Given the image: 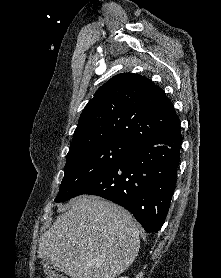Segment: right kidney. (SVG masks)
<instances>
[{"mask_svg":"<svg viewBox=\"0 0 221 278\" xmlns=\"http://www.w3.org/2000/svg\"><path fill=\"white\" fill-rule=\"evenodd\" d=\"M119 278H128V277H119Z\"/></svg>","mask_w":221,"mask_h":278,"instance_id":"1","label":"right kidney"}]
</instances>
